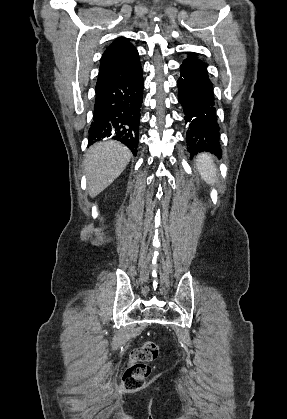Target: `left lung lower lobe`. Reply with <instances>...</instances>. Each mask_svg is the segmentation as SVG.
Segmentation results:
<instances>
[{"mask_svg": "<svg viewBox=\"0 0 287 419\" xmlns=\"http://www.w3.org/2000/svg\"><path fill=\"white\" fill-rule=\"evenodd\" d=\"M180 69L178 99L186 115V124L189 125L186 133L187 150L191 157L203 151L221 156L220 128L207 65L197 58L189 57Z\"/></svg>", "mask_w": 287, "mask_h": 419, "instance_id": "obj_1", "label": "left lung lower lobe"}]
</instances>
